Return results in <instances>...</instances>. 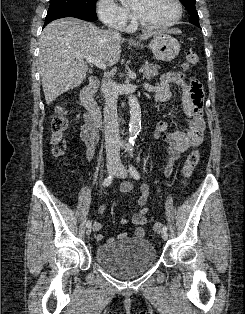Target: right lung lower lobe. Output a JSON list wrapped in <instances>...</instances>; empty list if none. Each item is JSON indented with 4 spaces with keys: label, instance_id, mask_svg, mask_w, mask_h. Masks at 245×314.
Returning a JSON list of instances; mask_svg holds the SVG:
<instances>
[{
    "label": "right lung lower lobe",
    "instance_id": "right-lung-lower-lobe-1",
    "mask_svg": "<svg viewBox=\"0 0 245 314\" xmlns=\"http://www.w3.org/2000/svg\"><path fill=\"white\" fill-rule=\"evenodd\" d=\"M64 17H75L87 21H94L97 20V15L84 12V11H78V10H59V11H52L48 12L45 18L44 26H46L48 23L55 19L64 18Z\"/></svg>",
    "mask_w": 245,
    "mask_h": 314
}]
</instances>
